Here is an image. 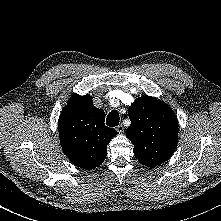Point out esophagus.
I'll use <instances>...</instances> for the list:
<instances>
[{
  "instance_id": "34e87169",
  "label": "esophagus",
  "mask_w": 221,
  "mask_h": 221,
  "mask_svg": "<svg viewBox=\"0 0 221 221\" xmlns=\"http://www.w3.org/2000/svg\"><path fill=\"white\" fill-rule=\"evenodd\" d=\"M116 130L119 132V133H122L124 131V127L122 124H119L117 127H116Z\"/></svg>"
}]
</instances>
